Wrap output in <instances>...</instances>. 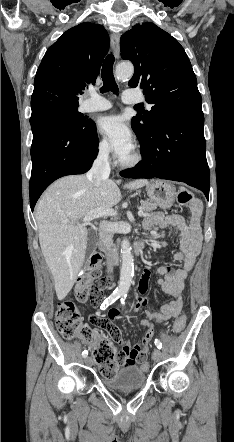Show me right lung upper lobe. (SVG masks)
<instances>
[{"instance_id":"obj_1","label":"right lung upper lobe","mask_w":234,"mask_h":442,"mask_svg":"<svg viewBox=\"0 0 234 442\" xmlns=\"http://www.w3.org/2000/svg\"><path fill=\"white\" fill-rule=\"evenodd\" d=\"M109 36L102 25L81 23L67 30L46 51L34 80L32 115L78 107V95L95 84Z\"/></svg>"}]
</instances>
